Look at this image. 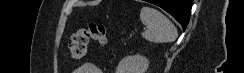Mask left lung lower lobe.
Masks as SVG:
<instances>
[{"instance_id":"obj_1","label":"left lung lower lobe","mask_w":244,"mask_h":73,"mask_svg":"<svg viewBox=\"0 0 244 73\" xmlns=\"http://www.w3.org/2000/svg\"><path fill=\"white\" fill-rule=\"evenodd\" d=\"M171 14L185 29L189 22L192 0H149Z\"/></svg>"}]
</instances>
